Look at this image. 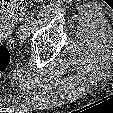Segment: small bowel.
<instances>
[{"instance_id":"small-bowel-1","label":"small bowel","mask_w":113,"mask_h":113,"mask_svg":"<svg viewBox=\"0 0 113 113\" xmlns=\"http://www.w3.org/2000/svg\"><path fill=\"white\" fill-rule=\"evenodd\" d=\"M2 18H4V20H2ZM1 23L3 27H7L9 25V21L8 19H6L3 15L0 16V27H1ZM1 40V38H0Z\"/></svg>"}]
</instances>
